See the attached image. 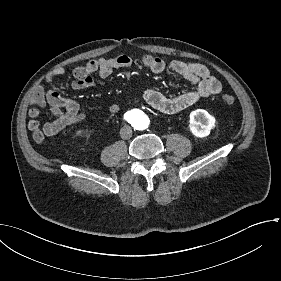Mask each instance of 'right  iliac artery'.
<instances>
[{
    "label": "right iliac artery",
    "instance_id": "obj_1",
    "mask_svg": "<svg viewBox=\"0 0 281 281\" xmlns=\"http://www.w3.org/2000/svg\"><path fill=\"white\" fill-rule=\"evenodd\" d=\"M129 118H130L129 113H126V114L124 115V119L128 120Z\"/></svg>",
    "mask_w": 281,
    "mask_h": 281
}]
</instances>
